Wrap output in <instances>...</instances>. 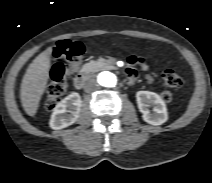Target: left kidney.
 Instances as JSON below:
<instances>
[{"mask_svg": "<svg viewBox=\"0 0 212 183\" xmlns=\"http://www.w3.org/2000/svg\"><path fill=\"white\" fill-rule=\"evenodd\" d=\"M136 100L142 118L151 125H161L168 120L167 108L164 100L154 92L138 91ZM153 105L154 113H150L149 106Z\"/></svg>", "mask_w": 212, "mask_h": 183, "instance_id": "left-kidney-1", "label": "left kidney"}]
</instances>
